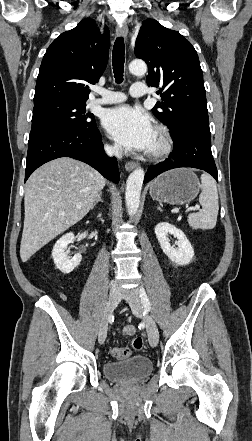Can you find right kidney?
<instances>
[{
  "label": "right kidney",
  "instance_id": "ca27d5eb",
  "mask_svg": "<svg viewBox=\"0 0 252 441\" xmlns=\"http://www.w3.org/2000/svg\"><path fill=\"white\" fill-rule=\"evenodd\" d=\"M74 241V234L67 233L63 235L54 245L52 250V257L54 264L64 274L72 272L81 262V254L74 255L71 259L66 252L68 244Z\"/></svg>",
  "mask_w": 252,
  "mask_h": 441
}]
</instances>
